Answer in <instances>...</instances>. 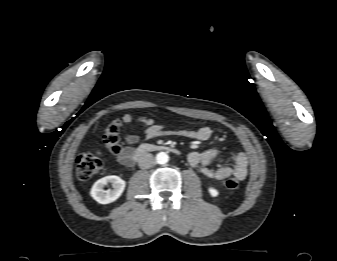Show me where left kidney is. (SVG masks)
Wrapping results in <instances>:
<instances>
[{
    "mask_svg": "<svg viewBox=\"0 0 337 261\" xmlns=\"http://www.w3.org/2000/svg\"><path fill=\"white\" fill-rule=\"evenodd\" d=\"M208 192L212 197H217L219 194V192L213 187L208 188Z\"/></svg>",
    "mask_w": 337,
    "mask_h": 261,
    "instance_id": "5707ae66",
    "label": "left kidney"
}]
</instances>
